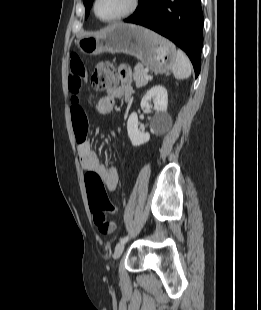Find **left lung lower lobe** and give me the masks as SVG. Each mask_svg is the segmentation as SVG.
Wrapping results in <instances>:
<instances>
[{"mask_svg": "<svg viewBox=\"0 0 261 310\" xmlns=\"http://www.w3.org/2000/svg\"><path fill=\"white\" fill-rule=\"evenodd\" d=\"M124 21L145 26L170 39L186 52L198 76L204 22L201 0H139L135 13Z\"/></svg>", "mask_w": 261, "mask_h": 310, "instance_id": "0a47b994", "label": "left lung lower lobe"}]
</instances>
